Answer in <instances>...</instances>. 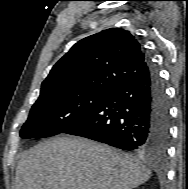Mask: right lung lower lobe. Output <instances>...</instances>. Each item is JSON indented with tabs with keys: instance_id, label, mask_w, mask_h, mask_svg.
Wrapping results in <instances>:
<instances>
[{
	"instance_id": "right-lung-lower-lobe-1",
	"label": "right lung lower lobe",
	"mask_w": 188,
	"mask_h": 189,
	"mask_svg": "<svg viewBox=\"0 0 188 189\" xmlns=\"http://www.w3.org/2000/svg\"><path fill=\"white\" fill-rule=\"evenodd\" d=\"M148 72L111 91L83 120L64 133L123 150L165 153L170 139L169 103L150 59Z\"/></svg>"
}]
</instances>
